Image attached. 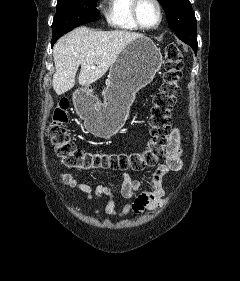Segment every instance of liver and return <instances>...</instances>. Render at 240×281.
Returning <instances> with one entry per match:
<instances>
[{
  "label": "liver",
  "instance_id": "6515ba94",
  "mask_svg": "<svg viewBox=\"0 0 240 281\" xmlns=\"http://www.w3.org/2000/svg\"><path fill=\"white\" fill-rule=\"evenodd\" d=\"M141 36L125 30L95 31L78 27L61 37L53 48L55 73L52 83L56 94L62 95L74 87L79 66L80 85H91L100 79L125 47Z\"/></svg>",
  "mask_w": 240,
  "mask_h": 281
}]
</instances>
